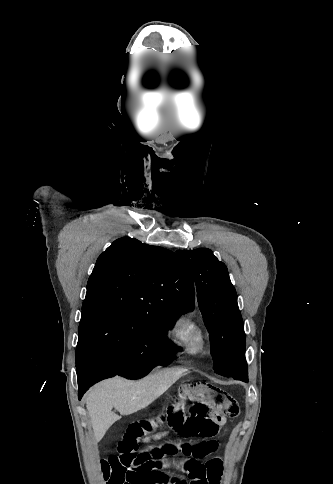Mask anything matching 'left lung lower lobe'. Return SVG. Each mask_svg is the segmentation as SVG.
Segmentation results:
<instances>
[{"instance_id": "left-lung-lower-lobe-1", "label": "left lung lower lobe", "mask_w": 333, "mask_h": 484, "mask_svg": "<svg viewBox=\"0 0 333 484\" xmlns=\"http://www.w3.org/2000/svg\"><path fill=\"white\" fill-rule=\"evenodd\" d=\"M236 363L239 364L243 368H247L246 366V360H245V349L241 351L237 356H236ZM242 381L247 382L248 379H244Z\"/></svg>"}]
</instances>
